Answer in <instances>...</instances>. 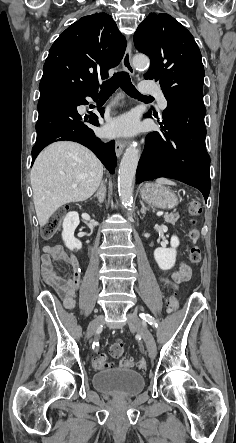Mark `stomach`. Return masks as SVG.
Here are the masks:
<instances>
[{
	"instance_id": "1",
	"label": "stomach",
	"mask_w": 236,
	"mask_h": 443,
	"mask_svg": "<svg viewBox=\"0 0 236 443\" xmlns=\"http://www.w3.org/2000/svg\"><path fill=\"white\" fill-rule=\"evenodd\" d=\"M140 194L145 202L156 208L171 209L178 204L176 195L158 183L144 184L140 190Z\"/></svg>"
}]
</instances>
